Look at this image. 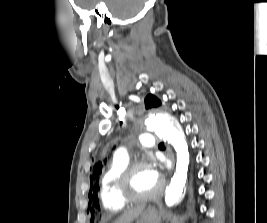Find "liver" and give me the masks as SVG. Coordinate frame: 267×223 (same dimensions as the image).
<instances>
[{
	"mask_svg": "<svg viewBox=\"0 0 267 223\" xmlns=\"http://www.w3.org/2000/svg\"><path fill=\"white\" fill-rule=\"evenodd\" d=\"M145 205L137 206L135 208L129 209L123 213V215L115 223H130L143 212Z\"/></svg>",
	"mask_w": 267,
	"mask_h": 223,
	"instance_id": "6515ba94",
	"label": "liver"
}]
</instances>
